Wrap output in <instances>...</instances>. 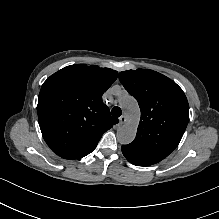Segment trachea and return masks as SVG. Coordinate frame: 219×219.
Instances as JSON below:
<instances>
[{
  "label": "trachea",
  "mask_w": 219,
  "mask_h": 219,
  "mask_svg": "<svg viewBox=\"0 0 219 219\" xmlns=\"http://www.w3.org/2000/svg\"><path fill=\"white\" fill-rule=\"evenodd\" d=\"M111 113L114 117H120L122 114V110L120 107L115 106L112 108Z\"/></svg>",
  "instance_id": "1"
}]
</instances>
